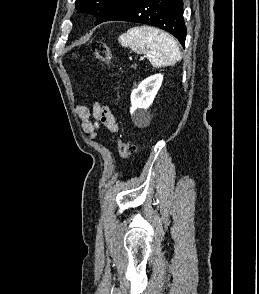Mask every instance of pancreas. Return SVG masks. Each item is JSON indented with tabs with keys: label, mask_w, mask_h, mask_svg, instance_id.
<instances>
[{
	"label": "pancreas",
	"mask_w": 259,
	"mask_h": 294,
	"mask_svg": "<svg viewBox=\"0 0 259 294\" xmlns=\"http://www.w3.org/2000/svg\"><path fill=\"white\" fill-rule=\"evenodd\" d=\"M132 67L136 68V67H137V65H136V64H135V65H132Z\"/></svg>",
	"instance_id": "obj_1"
}]
</instances>
